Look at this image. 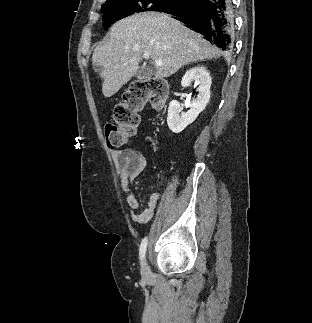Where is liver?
<instances>
[{
	"label": "liver",
	"instance_id": "6515ba94",
	"mask_svg": "<svg viewBox=\"0 0 312 323\" xmlns=\"http://www.w3.org/2000/svg\"><path fill=\"white\" fill-rule=\"evenodd\" d=\"M143 54L150 64L158 66L155 78H169L190 62H201L220 56L201 34L189 30L171 14L142 12L120 20L112 26L105 44L93 52V66H101L102 92L111 98L129 82L138 70Z\"/></svg>",
	"mask_w": 312,
	"mask_h": 323
}]
</instances>
